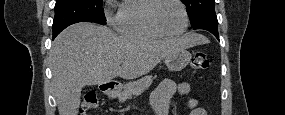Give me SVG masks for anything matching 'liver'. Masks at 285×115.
Returning <instances> with one entry per match:
<instances>
[{
    "instance_id": "obj_1",
    "label": "liver",
    "mask_w": 285,
    "mask_h": 115,
    "mask_svg": "<svg viewBox=\"0 0 285 115\" xmlns=\"http://www.w3.org/2000/svg\"><path fill=\"white\" fill-rule=\"evenodd\" d=\"M188 33L177 39L153 40L117 35L92 23L67 27L50 50L51 70L59 115H77L82 88L116 77L135 79L149 73L166 56L205 43Z\"/></svg>"
}]
</instances>
